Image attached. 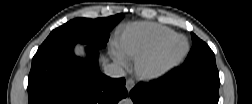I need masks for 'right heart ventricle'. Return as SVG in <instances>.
Segmentation results:
<instances>
[{"label":"right heart ventricle","instance_id":"e07e8e85","mask_svg":"<svg viewBox=\"0 0 252 104\" xmlns=\"http://www.w3.org/2000/svg\"><path fill=\"white\" fill-rule=\"evenodd\" d=\"M173 30L150 22L129 25L118 37L116 48L127 60H135L159 41L172 36Z\"/></svg>","mask_w":252,"mask_h":104}]
</instances>
